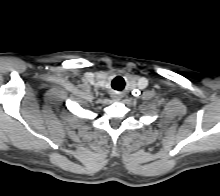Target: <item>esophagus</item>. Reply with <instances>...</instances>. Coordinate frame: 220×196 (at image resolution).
Segmentation results:
<instances>
[{"label":"esophagus","instance_id":"34e87169","mask_svg":"<svg viewBox=\"0 0 220 196\" xmlns=\"http://www.w3.org/2000/svg\"><path fill=\"white\" fill-rule=\"evenodd\" d=\"M111 98L114 100V101H119V97H117L116 95H111Z\"/></svg>","mask_w":220,"mask_h":196}]
</instances>
